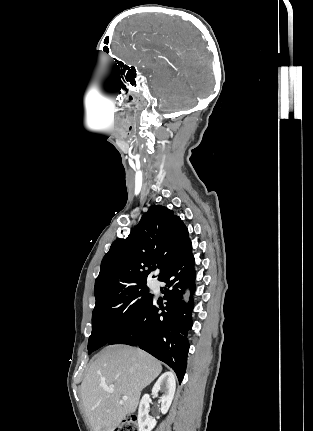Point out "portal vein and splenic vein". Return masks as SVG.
Listing matches in <instances>:
<instances>
[{
  "mask_svg": "<svg viewBox=\"0 0 313 431\" xmlns=\"http://www.w3.org/2000/svg\"><path fill=\"white\" fill-rule=\"evenodd\" d=\"M104 388V390L106 391V392H108V393H113V388H110V387H108V386H104L103 387ZM123 399H128L126 396H124L123 397Z\"/></svg>",
  "mask_w": 313,
  "mask_h": 431,
  "instance_id": "1",
  "label": "portal vein and splenic vein"
}]
</instances>
